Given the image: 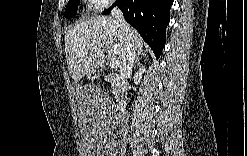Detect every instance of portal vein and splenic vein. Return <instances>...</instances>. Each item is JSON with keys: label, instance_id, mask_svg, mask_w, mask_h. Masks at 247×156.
Masks as SVG:
<instances>
[{"label": "portal vein and splenic vein", "instance_id": "18ae733b", "mask_svg": "<svg viewBox=\"0 0 247 156\" xmlns=\"http://www.w3.org/2000/svg\"><path fill=\"white\" fill-rule=\"evenodd\" d=\"M109 67H110L111 69H115V68L117 67L116 62H115V61H110V62H109Z\"/></svg>", "mask_w": 247, "mask_h": 156}]
</instances>
